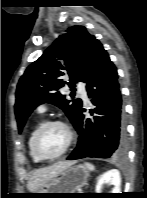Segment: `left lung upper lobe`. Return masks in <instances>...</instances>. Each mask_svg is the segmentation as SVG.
I'll return each mask as SVG.
<instances>
[{"label":"left lung upper lobe","instance_id":"left-lung-upper-lobe-1","mask_svg":"<svg viewBox=\"0 0 147 198\" xmlns=\"http://www.w3.org/2000/svg\"><path fill=\"white\" fill-rule=\"evenodd\" d=\"M95 39L84 26L69 27L26 69L16 90L15 114L19 132L33 109L45 102L63 109L73 125H76L82 101L67 100L58 90L64 84L74 89V82L86 81ZM65 73L70 75V83L63 80Z\"/></svg>","mask_w":147,"mask_h":198}]
</instances>
